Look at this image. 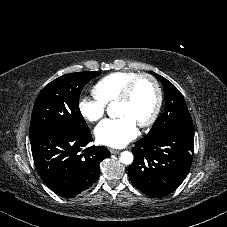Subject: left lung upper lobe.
<instances>
[{
  "label": "left lung upper lobe",
  "instance_id": "1",
  "mask_svg": "<svg viewBox=\"0 0 227 227\" xmlns=\"http://www.w3.org/2000/svg\"><path fill=\"white\" fill-rule=\"evenodd\" d=\"M152 73L162 82L165 110L156 120L149 133L142 139L150 140L173 132L192 131V118L180 91L166 78Z\"/></svg>",
  "mask_w": 227,
  "mask_h": 227
}]
</instances>
